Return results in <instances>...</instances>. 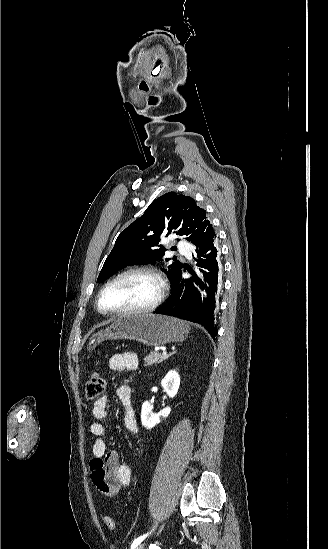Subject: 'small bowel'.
Listing matches in <instances>:
<instances>
[{
    "label": "small bowel",
    "mask_w": 328,
    "mask_h": 549,
    "mask_svg": "<svg viewBox=\"0 0 328 549\" xmlns=\"http://www.w3.org/2000/svg\"><path fill=\"white\" fill-rule=\"evenodd\" d=\"M112 371H134L138 368L139 359L134 352H123L112 355L108 362ZM117 397L125 409L124 424L131 433H138L135 409L132 404L131 390L128 385L117 389ZM108 397L101 396L92 407V415L96 419L90 425V433L95 440L92 446L93 457L90 460L91 478L96 488L108 497L115 496L122 488L131 484V468L119 461L115 450H107L104 440L105 427L102 421L107 416Z\"/></svg>",
    "instance_id": "c3829d8e"
}]
</instances>
